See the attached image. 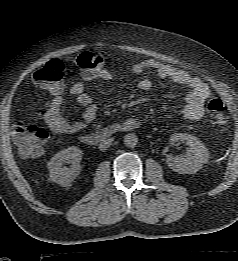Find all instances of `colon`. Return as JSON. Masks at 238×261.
Listing matches in <instances>:
<instances>
[{
    "instance_id": "5ec220e1",
    "label": "colon",
    "mask_w": 238,
    "mask_h": 261,
    "mask_svg": "<svg viewBox=\"0 0 238 261\" xmlns=\"http://www.w3.org/2000/svg\"><path fill=\"white\" fill-rule=\"evenodd\" d=\"M106 56L102 53L84 52L76 60L77 67L84 73H93L103 68ZM65 66L60 60H51L33 75L34 81L40 87L52 93L62 91V81ZM209 120L216 133H223L227 127V107L220 99H212L207 105ZM12 137L19 153L23 157L38 156L49 139V133L37 125H28L17 121L13 125Z\"/></svg>"
}]
</instances>
